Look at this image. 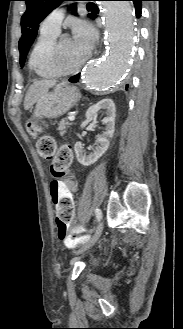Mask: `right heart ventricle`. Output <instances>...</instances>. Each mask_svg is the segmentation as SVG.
Here are the masks:
<instances>
[{"label":"right heart ventricle","instance_id":"1","mask_svg":"<svg viewBox=\"0 0 183 329\" xmlns=\"http://www.w3.org/2000/svg\"><path fill=\"white\" fill-rule=\"evenodd\" d=\"M58 34L40 31L30 55L29 68L40 78L51 79L57 77L51 65V52Z\"/></svg>","mask_w":183,"mask_h":329}]
</instances>
